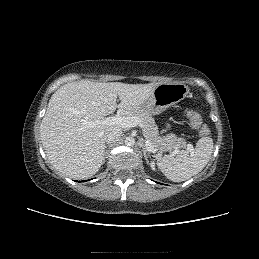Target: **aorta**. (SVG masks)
<instances>
[{"label":"aorta","mask_w":259,"mask_h":259,"mask_svg":"<svg viewBox=\"0 0 259 259\" xmlns=\"http://www.w3.org/2000/svg\"><path fill=\"white\" fill-rule=\"evenodd\" d=\"M125 145L129 146V147L134 146L135 145V139L133 137H126Z\"/></svg>","instance_id":"obj_1"}]
</instances>
